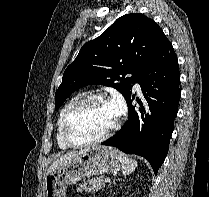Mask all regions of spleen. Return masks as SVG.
Instances as JSON below:
<instances>
[{
	"instance_id": "obj_1",
	"label": "spleen",
	"mask_w": 209,
	"mask_h": 197,
	"mask_svg": "<svg viewBox=\"0 0 209 197\" xmlns=\"http://www.w3.org/2000/svg\"><path fill=\"white\" fill-rule=\"evenodd\" d=\"M122 159V171L124 175L131 174L136 167L138 166L137 161L131 158H128L125 154L120 153Z\"/></svg>"
}]
</instances>
